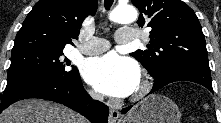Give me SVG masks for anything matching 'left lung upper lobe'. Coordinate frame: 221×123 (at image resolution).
I'll return each mask as SVG.
<instances>
[{
    "label": "left lung upper lobe",
    "instance_id": "5c2ea615",
    "mask_svg": "<svg viewBox=\"0 0 221 123\" xmlns=\"http://www.w3.org/2000/svg\"><path fill=\"white\" fill-rule=\"evenodd\" d=\"M140 27H151L148 50L130 53L157 78L183 64L209 67L205 38L194 11L181 0H132Z\"/></svg>",
    "mask_w": 221,
    "mask_h": 123
}]
</instances>
